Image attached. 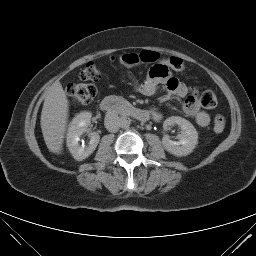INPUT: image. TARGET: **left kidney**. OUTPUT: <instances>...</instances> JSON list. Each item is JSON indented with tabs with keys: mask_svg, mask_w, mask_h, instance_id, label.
<instances>
[{
	"mask_svg": "<svg viewBox=\"0 0 256 256\" xmlns=\"http://www.w3.org/2000/svg\"><path fill=\"white\" fill-rule=\"evenodd\" d=\"M175 124L182 130V133L179 136V141H173L168 135H164L162 144L165 150L170 154L175 156L189 155L198 143V132L188 120L178 116L167 118L163 123V128L167 131Z\"/></svg>",
	"mask_w": 256,
	"mask_h": 256,
	"instance_id": "5707ae66",
	"label": "left kidney"
}]
</instances>
